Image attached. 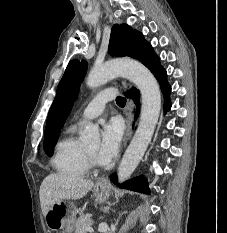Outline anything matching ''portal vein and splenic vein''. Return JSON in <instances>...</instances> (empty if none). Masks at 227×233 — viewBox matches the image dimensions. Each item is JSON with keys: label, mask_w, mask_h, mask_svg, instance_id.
Segmentation results:
<instances>
[{"label": "portal vein and splenic vein", "mask_w": 227, "mask_h": 233, "mask_svg": "<svg viewBox=\"0 0 227 233\" xmlns=\"http://www.w3.org/2000/svg\"><path fill=\"white\" fill-rule=\"evenodd\" d=\"M86 231L92 232L93 229L89 226V227L86 228Z\"/></svg>", "instance_id": "portal-vein-and-splenic-vein-1"}]
</instances>
